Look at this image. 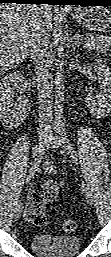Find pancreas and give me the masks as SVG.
Here are the masks:
<instances>
[{
  "label": "pancreas",
  "instance_id": "obj_1",
  "mask_svg": "<svg viewBox=\"0 0 111 257\" xmlns=\"http://www.w3.org/2000/svg\"><path fill=\"white\" fill-rule=\"evenodd\" d=\"M85 45L88 49L96 50L99 53H106L111 45V37L90 36L86 37Z\"/></svg>",
  "mask_w": 111,
  "mask_h": 257
}]
</instances>
